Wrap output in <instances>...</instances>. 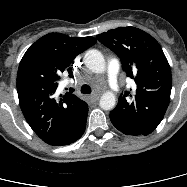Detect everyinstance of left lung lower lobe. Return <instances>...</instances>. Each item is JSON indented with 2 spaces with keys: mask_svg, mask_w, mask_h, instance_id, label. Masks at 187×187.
I'll list each match as a JSON object with an SVG mask.
<instances>
[{
  "mask_svg": "<svg viewBox=\"0 0 187 187\" xmlns=\"http://www.w3.org/2000/svg\"><path fill=\"white\" fill-rule=\"evenodd\" d=\"M110 120L112 124L122 133L126 135H144L133 128L127 126L124 122L117 119L114 115L110 114Z\"/></svg>",
  "mask_w": 187,
  "mask_h": 187,
  "instance_id": "0a47b994",
  "label": "left lung lower lobe"
}]
</instances>
